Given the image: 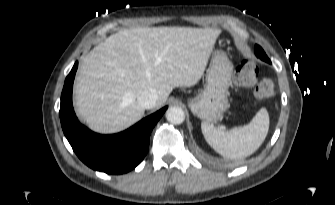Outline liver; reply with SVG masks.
Returning <instances> with one entry per match:
<instances>
[{
    "instance_id": "6515ba94",
    "label": "liver",
    "mask_w": 335,
    "mask_h": 205,
    "mask_svg": "<svg viewBox=\"0 0 335 205\" xmlns=\"http://www.w3.org/2000/svg\"><path fill=\"white\" fill-rule=\"evenodd\" d=\"M220 30L139 27L121 30L83 59L75 81V104L91 129L115 133L134 124L144 109L138 97L158 94L157 107L174 87H191L204 73Z\"/></svg>"
}]
</instances>
